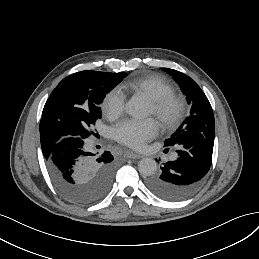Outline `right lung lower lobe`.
<instances>
[{
	"instance_id": "obj_1",
	"label": "right lung lower lobe",
	"mask_w": 259,
	"mask_h": 259,
	"mask_svg": "<svg viewBox=\"0 0 259 259\" xmlns=\"http://www.w3.org/2000/svg\"><path fill=\"white\" fill-rule=\"evenodd\" d=\"M109 151L91 153L84 140L59 142L46 159L48 173L59 192L79 205H90L101 200L109 191L115 163Z\"/></svg>"
}]
</instances>
